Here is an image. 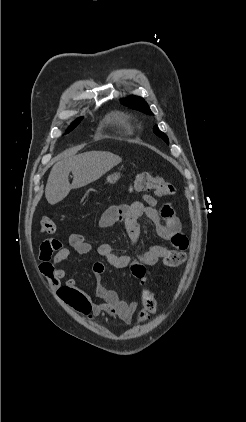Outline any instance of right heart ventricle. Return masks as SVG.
I'll return each instance as SVG.
<instances>
[{
  "instance_id": "e07e8e85",
  "label": "right heart ventricle",
  "mask_w": 246,
  "mask_h": 422,
  "mask_svg": "<svg viewBox=\"0 0 246 422\" xmlns=\"http://www.w3.org/2000/svg\"><path fill=\"white\" fill-rule=\"evenodd\" d=\"M114 120H115L116 124L119 127H121L122 129L126 130L127 132L132 131V126H131V123H130L127 116H125L123 114H116L114 116Z\"/></svg>"
}]
</instances>
